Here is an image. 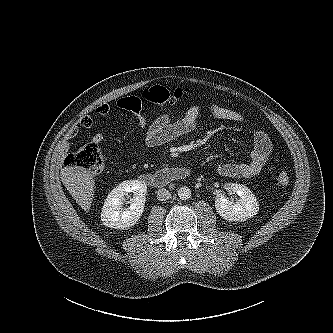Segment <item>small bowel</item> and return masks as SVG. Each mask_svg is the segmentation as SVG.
<instances>
[{
	"instance_id": "1",
	"label": "small bowel",
	"mask_w": 333,
	"mask_h": 333,
	"mask_svg": "<svg viewBox=\"0 0 333 333\" xmlns=\"http://www.w3.org/2000/svg\"><path fill=\"white\" fill-rule=\"evenodd\" d=\"M120 109L132 112L138 119L141 126H144L145 119L142 113L141 100L135 96L120 98L117 101ZM203 104H195L189 107L184 115L178 120L172 121L169 114L162 113L156 117L147 127L144 142L149 148H154L175 140L183 135L192 132L198 126L201 113L204 109ZM211 116L217 119L232 121L235 123H244L245 117L240 112L222 107L216 103H211L207 107ZM111 111L109 104H101L95 109V114L100 117L107 116ZM93 125V118L85 116L80 121V126L90 128ZM80 126L71 127L64 137V144L69 143L80 132ZM104 140L102 133H96L93 137L94 143H101ZM272 142L267 133L256 131L253 135V148L250 152V158L246 162H227L218 167L220 175L230 178L252 177L258 174L272 153Z\"/></svg>"
}]
</instances>
